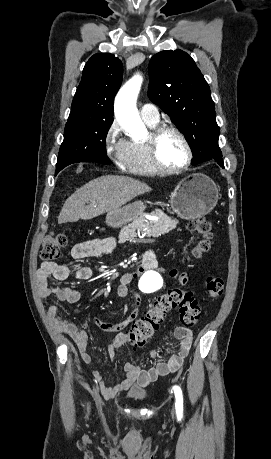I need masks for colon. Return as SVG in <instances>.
Instances as JSON below:
<instances>
[{
    "label": "colon",
    "instance_id": "5ec220e1",
    "mask_svg": "<svg viewBox=\"0 0 271 459\" xmlns=\"http://www.w3.org/2000/svg\"><path fill=\"white\" fill-rule=\"evenodd\" d=\"M187 229L199 235V240L191 251L194 258H199L211 247L212 224L207 218L200 217L189 221ZM66 244L67 236L65 233L51 234L42 242L40 257L45 261L57 260L61 257ZM223 289L224 280L222 277L211 276L207 278L206 293L210 298L221 296ZM174 309L179 310L180 320L186 327H192L199 321L200 308L192 293L178 288L171 289L158 297L144 315L134 322L126 334L128 343L134 349L143 346L160 328L165 315Z\"/></svg>",
    "mask_w": 271,
    "mask_h": 459
}]
</instances>
